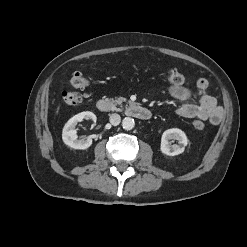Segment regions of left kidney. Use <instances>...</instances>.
Returning a JSON list of instances; mask_svg holds the SVG:
<instances>
[{
	"label": "left kidney",
	"instance_id": "5707ae66",
	"mask_svg": "<svg viewBox=\"0 0 247 247\" xmlns=\"http://www.w3.org/2000/svg\"><path fill=\"white\" fill-rule=\"evenodd\" d=\"M178 140L179 144H170L169 140ZM188 139L186 134L178 129L172 128L163 132L161 138V152L168 156L179 155L184 152L185 147L188 145Z\"/></svg>",
	"mask_w": 247,
	"mask_h": 247
}]
</instances>
